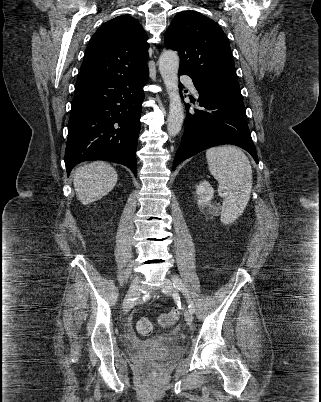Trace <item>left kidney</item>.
Segmentation results:
<instances>
[{
    "label": "left kidney",
    "instance_id": "1",
    "mask_svg": "<svg viewBox=\"0 0 321 402\" xmlns=\"http://www.w3.org/2000/svg\"><path fill=\"white\" fill-rule=\"evenodd\" d=\"M198 196V205L201 207L211 206V200L214 196V190L209 182L203 181L196 187Z\"/></svg>",
    "mask_w": 321,
    "mask_h": 402
}]
</instances>
